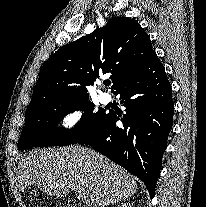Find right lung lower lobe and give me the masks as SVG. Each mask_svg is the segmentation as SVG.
Listing matches in <instances>:
<instances>
[{"instance_id": "right-lung-lower-lobe-1", "label": "right lung lower lobe", "mask_w": 206, "mask_h": 207, "mask_svg": "<svg viewBox=\"0 0 206 207\" xmlns=\"http://www.w3.org/2000/svg\"><path fill=\"white\" fill-rule=\"evenodd\" d=\"M114 93L120 95L126 114L110 110L95 131L79 142L141 179L153 198L174 112L171 86L157 55ZM118 120L122 127L116 126Z\"/></svg>"}]
</instances>
